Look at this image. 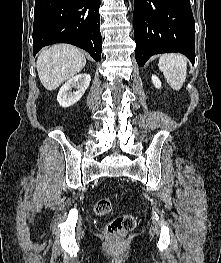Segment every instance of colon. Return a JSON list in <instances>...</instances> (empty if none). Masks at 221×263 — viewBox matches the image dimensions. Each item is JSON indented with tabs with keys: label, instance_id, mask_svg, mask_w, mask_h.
<instances>
[{
	"label": "colon",
	"instance_id": "5ec220e1",
	"mask_svg": "<svg viewBox=\"0 0 221 263\" xmlns=\"http://www.w3.org/2000/svg\"><path fill=\"white\" fill-rule=\"evenodd\" d=\"M113 202L111 198L106 197L98 200L95 204V212L98 215H107L112 211ZM135 227V218L131 214H123L115 217L106 225L105 232L108 238L114 241H120L126 234Z\"/></svg>",
	"mask_w": 221,
	"mask_h": 263
}]
</instances>
